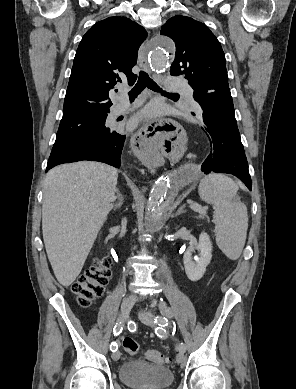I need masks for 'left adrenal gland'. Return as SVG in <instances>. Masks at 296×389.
<instances>
[{
    "instance_id": "1",
    "label": "left adrenal gland",
    "mask_w": 296,
    "mask_h": 389,
    "mask_svg": "<svg viewBox=\"0 0 296 389\" xmlns=\"http://www.w3.org/2000/svg\"><path fill=\"white\" fill-rule=\"evenodd\" d=\"M185 204H183L182 206H180L179 207V209L177 210V212L175 213V216H178V215H180V214H182V213H185L186 211L184 210V208H185Z\"/></svg>"
}]
</instances>
